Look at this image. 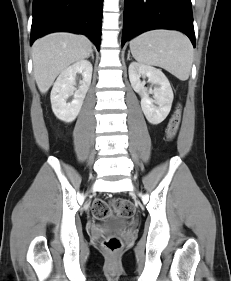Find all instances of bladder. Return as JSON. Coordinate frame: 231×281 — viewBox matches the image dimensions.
I'll use <instances>...</instances> for the list:
<instances>
[{
	"mask_svg": "<svg viewBox=\"0 0 231 281\" xmlns=\"http://www.w3.org/2000/svg\"><path fill=\"white\" fill-rule=\"evenodd\" d=\"M129 226V221L125 218H109L103 223V227L109 230H122Z\"/></svg>",
	"mask_w": 231,
	"mask_h": 281,
	"instance_id": "1",
	"label": "bladder"
}]
</instances>
